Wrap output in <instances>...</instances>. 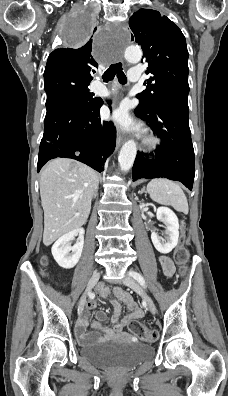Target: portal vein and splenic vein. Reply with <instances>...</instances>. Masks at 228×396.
Instances as JSON below:
<instances>
[{
	"label": "portal vein and splenic vein",
	"mask_w": 228,
	"mask_h": 396,
	"mask_svg": "<svg viewBox=\"0 0 228 396\" xmlns=\"http://www.w3.org/2000/svg\"><path fill=\"white\" fill-rule=\"evenodd\" d=\"M76 216H79V213H76Z\"/></svg>",
	"instance_id": "1"
}]
</instances>
